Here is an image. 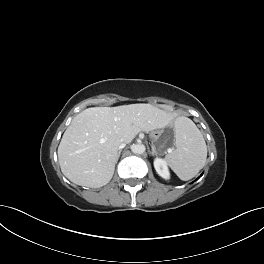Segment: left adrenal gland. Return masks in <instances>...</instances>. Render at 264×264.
Instances as JSON below:
<instances>
[{
	"label": "left adrenal gland",
	"mask_w": 264,
	"mask_h": 264,
	"mask_svg": "<svg viewBox=\"0 0 264 264\" xmlns=\"http://www.w3.org/2000/svg\"><path fill=\"white\" fill-rule=\"evenodd\" d=\"M151 148H152V152H151L152 156L157 155V151H156L154 144L151 145Z\"/></svg>",
	"instance_id": "left-adrenal-gland-1"
}]
</instances>
